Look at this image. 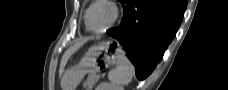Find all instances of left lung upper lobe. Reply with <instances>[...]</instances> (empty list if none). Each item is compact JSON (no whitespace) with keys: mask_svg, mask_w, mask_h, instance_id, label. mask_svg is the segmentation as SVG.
<instances>
[{"mask_svg":"<svg viewBox=\"0 0 228 90\" xmlns=\"http://www.w3.org/2000/svg\"><path fill=\"white\" fill-rule=\"evenodd\" d=\"M119 1L122 3L123 8H124V6L126 5V3L128 2V0H119Z\"/></svg>","mask_w":228,"mask_h":90,"instance_id":"obj_1","label":"left lung upper lobe"}]
</instances>
